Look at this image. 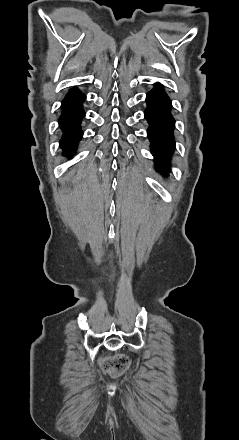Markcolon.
<instances>
[{"instance_id": "5ec220e1", "label": "colon", "mask_w": 239, "mask_h": 440, "mask_svg": "<svg viewBox=\"0 0 239 440\" xmlns=\"http://www.w3.org/2000/svg\"><path fill=\"white\" fill-rule=\"evenodd\" d=\"M129 365V359L123 354H118L110 359H108L104 368L107 372L112 374H119L124 371Z\"/></svg>"}]
</instances>
